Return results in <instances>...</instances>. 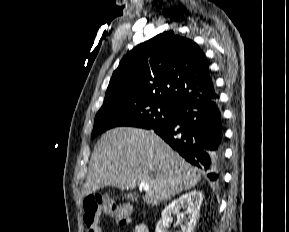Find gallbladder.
Segmentation results:
<instances>
[{
  "mask_svg": "<svg viewBox=\"0 0 289 232\" xmlns=\"http://www.w3.org/2000/svg\"><path fill=\"white\" fill-rule=\"evenodd\" d=\"M125 198H126V199H132V200L134 199L133 195H131V194H130V195H129V194H128V195H125Z\"/></svg>",
  "mask_w": 289,
  "mask_h": 232,
  "instance_id": "bac80fb5",
  "label": "gallbladder"
}]
</instances>
